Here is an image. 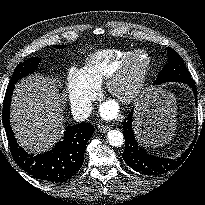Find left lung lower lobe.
Segmentation results:
<instances>
[{"label":"left lung lower lobe","instance_id":"left-lung-lower-lobe-1","mask_svg":"<svg viewBox=\"0 0 205 205\" xmlns=\"http://www.w3.org/2000/svg\"><path fill=\"white\" fill-rule=\"evenodd\" d=\"M183 83L188 84L192 88L195 94V102L197 103V89L194 81L189 80ZM132 113L133 111L122 123L123 134L125 136V150L122 157L125 163L133 170L148 176H158L176 169L178 165L182 163L183 156H186V153L176 160L164 159L148 154L138 145V142L134 137L132 129Z\"/></svg>","mask_w":205,"mask_h":205}]
</instances>
